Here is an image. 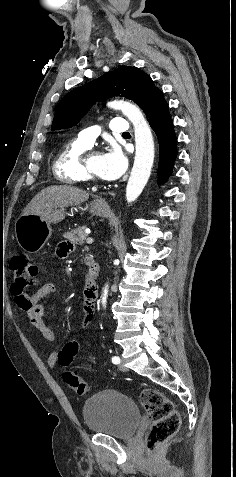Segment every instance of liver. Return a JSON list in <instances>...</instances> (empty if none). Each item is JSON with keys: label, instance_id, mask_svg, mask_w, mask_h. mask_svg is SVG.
<instances>
[{"label": "liver", "instance_id": "1", "mask_svg": "<svg viewBox=\"0 0 236 477\" xmlns=\"http://www.w3.org/2000/svg\"><path fill=\"white\" fill-rule=\"evenodd\" d=\"M88 198L89 193L80 188L67 185L49 186L31 200L23 214L44 215L56 208L79 205Z\"/></svg>", "mask_w": 236, "mask_h": 477}]
</instances>
